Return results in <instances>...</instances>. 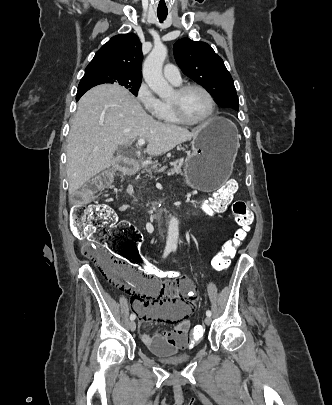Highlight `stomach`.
I'll return each mask as SVG.
<instances>
[{
    "instance_id": "stomach-1",
    "label": "stomach",
    "mask_w": 332,
    "mask_h": 405,
    "mask_svg": "<svg viewBox=\"0 0 332 405\" xmlns=\"http://www.w3.org/2000/svg\"><path fill=\"white\" fill-rule=\"evenodd\" d=\"M191 142L185 177L190 186L214 191L231 176L239 148L236 126L223 117H212L199 127Z\"/></svg>"
}]
</instances>
